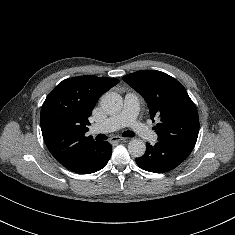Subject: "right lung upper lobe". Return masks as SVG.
Returning <instances> with one entry per match:
<instances>
[{
    "label": "right lung upper lobe",
    "mask_w": 235,
    "mask_h": 235,
    "mask_svg": "<svg viewBox=\"0 0 235 235\" xmlns=\"http://www.w3.org/2000/svg\"><path fill=\"white\" fill-rule=\"evenodd\" d=\"M119 81L115 78L85 75L60 82L47 96L40 122L44 141L63 166H70L88 144L85 137L93 108L98 99Z\"/></svg>",
    "instance_id": "cb5924a9"
}]
</instances>
